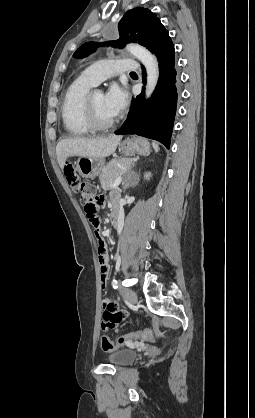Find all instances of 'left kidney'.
Here are the masks:
<instances>
[{
    "label": "left kidney",
    "instance_id": "left-kidney-1",
    "mask_svg": "<svg viewBox=\"0 0 255 418\" xmlns=\"http://www.w3.org/2000/svg\"><path fill=\"white\" fill-rule=\"evenodd\" d=\"M150 175H151L150 173H146V174H145V178H146V179H149Z\"/></svg>",
    "mask_w": 255,
    "mask_h": 418
}]
</instances>
